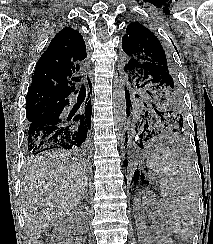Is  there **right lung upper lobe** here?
Segmentation results:
<instances>
[{
	"label": "right lung upper lobe",
	"mask_w": 213,
	"mask_h": 244,
	"mask_svg": "<svg viewBox=\"0 0 213 244\" xmlns=\"http://www.w3.org/2000/svg\"><path fill=\"white\" fill-rule=\"evenodd\" d=\"M86 56L81 34L68 26L61 29L38 60L26 98L44 94L68 97L75 90L70 80Z\"/></svg>",
	"instance_id": "1"
}]
</instances>
